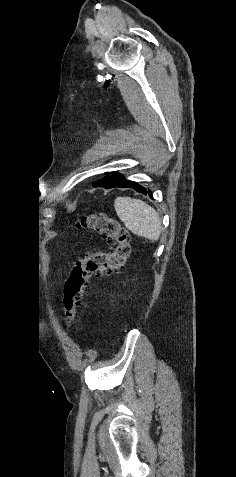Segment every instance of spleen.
I'll list each match as a JSON object with an SVG mask.
<instances>
[{"label":"spleen","mask_w":236,"mask_h":477,"mask_svg":"<svg viewBox=\"0 0 236 477\" xmlns=\"http://www.w3.org/2000/svg\"><path fill=\"white\" fill-rule=\"evenodd\" d=\"M114 208L119 219L133 234L149 240L159 239L161 220L150 205L131 197H117Z\"/></svg>","instance_id":"obj_1"}]
</instances>
